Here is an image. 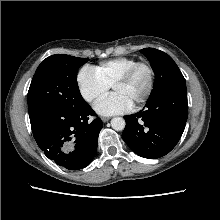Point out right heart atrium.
<instances>
[{"mask_svg": "<svg viewBox=\"0 0 220 220\" xmlns=\"http://www.w3.org/2000/svg\"><path fill=\"white\" fill-rule=\"evenodd\" d=\"M77 85L81 97L90 104L103 97L109 90V86L89 66L83 67L79 71Z\"/></svg>", "mask_w": 220, "mask_h": 220, "instance_id": "d8ad5b80", "label": "right heart atrium"}]
</instances>
